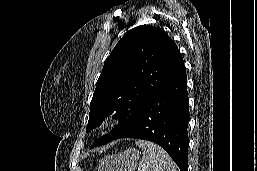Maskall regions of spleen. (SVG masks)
Segmentation results:
<instances>
[{"label": "spleen", "mask_w": 257, "mask_h": 171, "mask_svg": "<svg viewBox=\"0 0 257 171\" xmlns=\"http://www.w3.org/2000/svg\"><path fill=\"white\" fill-rule=\"evenodd\" d=\"M136 145L143 149L138 171H177V167L171 157L157 144L138 140Z\"/></svg>", "instance_id": "spleen-1"}]
</instances>
